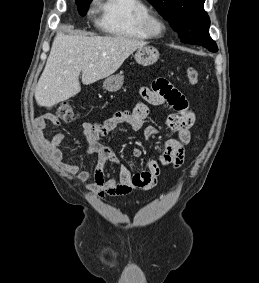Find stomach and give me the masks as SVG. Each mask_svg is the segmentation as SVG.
Masks as SVG:
<instances>
[{"instance_id": "0dacf381", "label": "stomach", "mask_w": 259, "mask_h": 283, "mask_svg": "<svg viewBox=\"0 0 259 283\" xmlns=\"http://www.w3.org/2000/svg\"><path fill=\"white\" fill-rule=\"evenodd\" d=\"M134 58L136 62L143 66L154 64L159 59V51L153 46H143L137 49ZM124 82L122 74L109 76L103 82V88L109 92L118 91Z\"/></svg>"}]
</instances>
